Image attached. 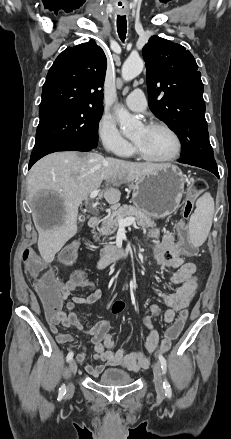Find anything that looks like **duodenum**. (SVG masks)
Listing matches in <instances>:
<instances>
[{
	"label": "duodenum",
	"instance_id": "obj_1",
	"mask_svg": "<svg viewBox=\"0 0 231 439\" xmlns=\"http://www.w3.org/2000/svg\"><path fill=\"white\" fill-rule=\"evenodd\" d=\"M100 223H101V219L97 216L91 217L88 221V225L91 229L97 228L100 225ZM129 255H130V252L127 248L115 246V247L108 249L101 256V258L98 260L96 266L98 269H103L115 261L128 258Z\"/></svg>",
	"mask_w": 231,
	"mask_h": 439
}]
</instances>
